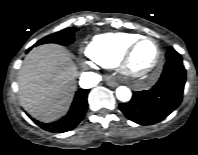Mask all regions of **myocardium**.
<instances>
[{"instance_id":"1","label":"myocardium","mask_w":198,"mask_h":155,"mask_svg":"<svg viewBox=\"0 0 198 155\" xmlns=\"http://www.w3.org/2000/svg\"><path fill=\"white\" fill-rule=\"evenodd\" d=\"M143 41H152L155 43L157 47V57L154 64L148 71L144 73H138L131 68V60L135 49ZM163 58H164L163 50L159 42L155 38L149 36H139L138 38L133 40L125 49V51L123 52V54L121 55L118 61V65L120 68V72L122 73L123 76L130 79L132 82L136 84L143 85L155 80L161 68Z\"/></svg>"}]
</instances>
